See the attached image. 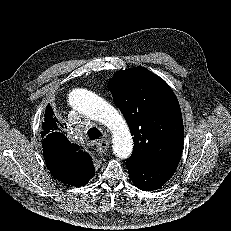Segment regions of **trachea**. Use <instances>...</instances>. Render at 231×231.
<instances>
[{
    "mask_svg": "<svg viewBox=\"0 0 231 231\" xmlns=\"http://www.w3.org/2000/svg\"><path fill=\"white\" fill-rule=\"evenodd\" d=\"M87 136L90 140H98L103 138L102 132L96 127L90 128L87 132Z\"/></svg>",
    "mask_w": 231,
    "mask_h": 231,
    "instance_id": "obj_1",
    "label": "trachea"
}]
</instances>
